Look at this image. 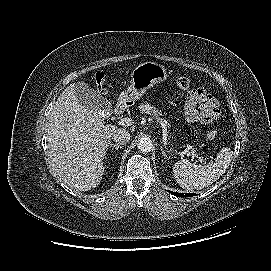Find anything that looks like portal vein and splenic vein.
Instances as JSON below:
<instances>
[{"instance_id": "obj_1", "label": "portal vein and splenic vein", "mask_w": 271, "mask_h": 271, "mask_svg": "<svg viewBox=\"0 0 271 271\" xmlns=\"http://www.w3.org/2000/svg\"><path fill=\"white\" fill-rule=\"evenodd\" d=\"M134 123V120H132L131 118H122L119 120V124L123 125V126H131ZM184 153H186L188 156H192L193 158H197L199 162L203 163L204 160L203 158L199 157L195 152H190L187 149L184 150Z\"/></svg>"}]
</instances>
